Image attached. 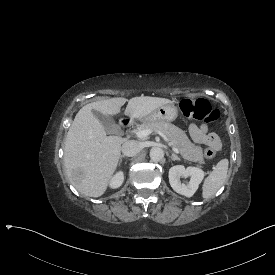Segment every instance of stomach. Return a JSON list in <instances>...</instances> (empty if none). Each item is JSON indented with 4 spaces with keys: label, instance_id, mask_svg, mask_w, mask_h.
I'll list each match as a JSON object with an SVG mask.
<instances>
[{
    "label": "stomach",
    "instance_id": "1",
    "mask_svg": "<svg viewBox=\"0 0 275 275\" xmlns=\"http://www.w3.org/2000/svg\"><path fill=\"white\" fill-rule=\"evenodd\" d=\"M179 110L176 105L173 103L163 105L159 107L157 110L152 112L150 115L143 118L145 122H172L178 118Z\"/></svg>",
    "mask_w": 275,
    "mask_h": 275
}]
</instances>
